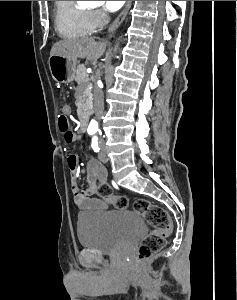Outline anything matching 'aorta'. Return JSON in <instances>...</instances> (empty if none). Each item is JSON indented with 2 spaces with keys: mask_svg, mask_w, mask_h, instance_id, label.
<instances>
[{
  "mask_svg": "<svg viewBox=\"0 0 237 300\" xmlns=\"http://www.w3.org/2000/svg\"><path fill=\"white\" fill-rule=\"evenodd\" d=\"M96 125H97L96 121H91L90 127H96Z\"/></svg>",
  "mask_w": 237,
  "mask_h": 300,
  "instance_id": "762f6f07",
  "label": "aorta"
}]
</instances>
